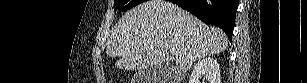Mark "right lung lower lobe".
Segmentation results:
<instances>
[{"mask_svg": "<svg viewBox=\"0 0 307 83\" xmlns=\"http://www.w3.org/2000/svg\"><path fill=\"white\" fill-rule=\"evenodd\" d=\"M207 25H217L232 40L238 0H172Z\"/></svg>", "mask_w": 307, "mask_h": 83, "instance_id": "98d812e1", "label": "right lung lower lobe"}]
</instances>
